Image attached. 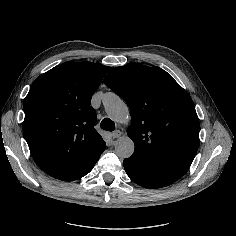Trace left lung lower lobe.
Segmentation results:
<instances>
[{
  "mask_svg": "<svg viewBox=\"0 0 236 236\" xmlns=\"http://www.w3.org/2000/svg\"><path fill=\"white\" fill-rule=\"evenodd\" d=\"M123 165L130 179L145 188L165 187L177 181L133 156L124 159Z\"/></svg>",
  "mask_w": 236,
  "mask_h": 236,
  "instance_id": "obj_1",
  "label": "left lung lower lobe"
}]
</instances>
